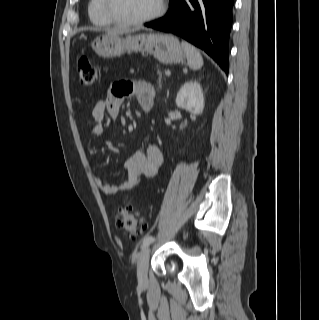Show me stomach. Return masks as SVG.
Here are the masks:
<instances>
[{"label":"stomach","instance_id":"1","mask_svg":"<svg viewBox=\"0 0 319 320\" xmlns=\"http://www.w3.org/2000/svg\"><path fill=\"white\" fill-rule=\"evenodd\" d=\"M92 49L103 58L117 57L125 52L153 54L163 64L184 62L185 53L179 40L171 34H105L96 37Z\"/></svg>","mask_w":319,"mask_h":320}]
</instances>
